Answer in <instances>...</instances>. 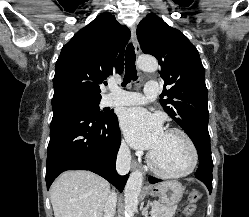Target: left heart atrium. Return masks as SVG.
I'll list each match as a JSON object with an SVG mask.
<instances>
[{
	"label": "left heart atrium",
	"instance_id": "1",
	"mask_svg": "<svg viewBox=\"0 0 249 217\" xmlns=\"http://www.w3.org/2000/svg\"><path fill=\"white\" fill-rule=\"evenodd\" d=\"M120 122L129 144L137 149L154 150L164 134L161 120L143 108L127 109Z\"/></svg>",
	"mask_w": 249,
	"mask_h": 217
}]
</instances>
